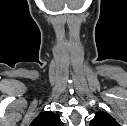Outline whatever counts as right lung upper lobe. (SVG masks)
Listing matches in <instances>:
<instances>
[{"mask_svg":"<svg viewBox=\"0 0 127 126\" xmlns=\"http://www.w3.org/2000/svg\"><path fill=\"white\" fill-rule=\"evenodd\" d=\"M30 126H63L59 116L50 111L41 112L30 124Z\"/></svg>","mask_w":127,"mask_h":126,"instance_id":"1","label":"right lung upper lobe"}]
</instances>
